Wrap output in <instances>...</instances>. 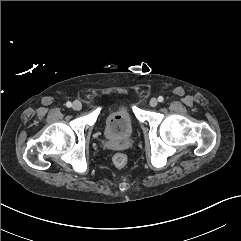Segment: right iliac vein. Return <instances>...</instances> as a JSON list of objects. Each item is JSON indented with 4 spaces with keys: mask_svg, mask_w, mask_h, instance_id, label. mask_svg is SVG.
<instances>
[{
    "mask_svg": "<svg viewBox=\"0 0 241 241\" xmlns=\"http://www.w3.org/2000/svg\"><path fill=\"white\" fill-rule=\"evenodd\" d=\"M72 107L75 111H80L82 109V104H81L80 101L76 100V101L73 102Z\"/></svg>",
    "mask_w": 241,
    "mask_h": 241,
    "instance_id": "63e3f726",
    "label": "right iliac vein"
}]
</instances>
